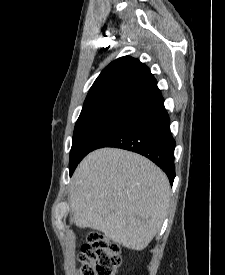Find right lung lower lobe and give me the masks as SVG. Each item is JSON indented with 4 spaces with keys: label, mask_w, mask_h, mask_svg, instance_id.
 <instances>
[{
    "label": "right lung lower lobe",
    "mask_w": 225,
    "mask_h": 275,
    "mask_svg": "<svg viewBox=\"0 0 225 275\" xmlns=\"http://www.w3.org/2000/svg\"><path fill=\"white\" fill-rule=\"evenodd\" d=\"M169 121L162 99L128 114L93 150L117 147L144 155L167 174L172 184L175 177V140L170 132Z\"/></svg>",
    "instance_id": "obj_1"
}]
</instances>
